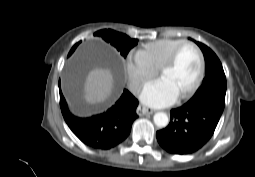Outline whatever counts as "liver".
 <instances>
[{
  "mask_svg": "<svg viewBox=\"0 0 255 177\" xmlns=\"http://www.w3.org/2000/svg\"><path fill=\"white\" fill-rule=\"evenodd\" d=\"M114 77L109 68L92 69L84 82L82 98L87 104L104 102L113 92Z\"/></svg>",
  "mask_w": 255,
  "mask_h": 177,
  "instance_id": "liver-1",
  "label": "liver"
}]
</instances>
